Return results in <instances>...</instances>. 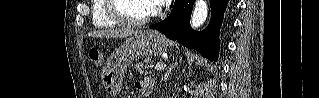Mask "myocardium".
Segmentation results:
<instances>
[{
	"instance_id": "obj_1",
	"label": "myocardium",
	"mask_w": 319,
	"mask_h": 98,
	"mask_svg": "<svg viewBox=\"0 0 319 98\" xmlns=\"http://www.w3.org/2000/svg\"><path fill=\"white\" fill-rule=\"evenodd\" d=\"M116 1H119V0H116ZM116 1L106 0V13L111 20H113L119 25L138 28V27H142L146 25L155 16V12L152 11L149 15H147L146 17L142 19L134 20V19L126 18L117 11Z\"/></svg>"
}]
</instances>
